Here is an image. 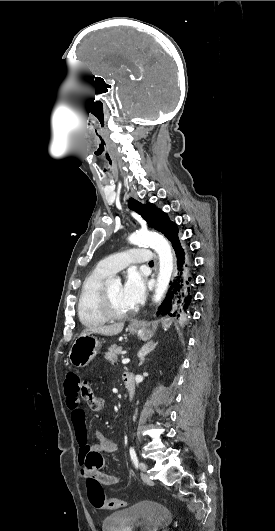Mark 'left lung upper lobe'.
Listing matches in <instances>:
<instances>
[{
  "mask_svg": "<svg viewBox=\"0 0 275 531\" xmlns=\"http://www.w3.org/2000/svg\"><path fill=\"white\" fill-rule=\"evenodd\" d=\"M130 209L138 213L148 224L149 227L166 234L168 228L174 224L170 221L167 214L162 210L156 209L151 203L142 204L135 199H130L128 202Z\"/></svg>",
  "mask_w": 275,
  "mask_h": 531,
  "instance_id": "1",
  "label": "left lung upper lobe"
}]
</instances>
